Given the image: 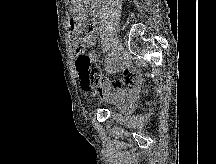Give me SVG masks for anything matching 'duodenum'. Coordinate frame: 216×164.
<instances>
[{"instance_id": "obj_1", "label": "duodenum", "mask_w": 216, "mask_h": 164, "mask_svg": "<svg viewBox=\"0 0 216 164\" xmlns=\"http://www.w3.org/2000/svg\"><path fill=\"white\" fill-rule=\"evenodd\" d=\"M102 0H93L91 11L93 15L98 16L101 12Z\"/></svg>"}]
</instances>
